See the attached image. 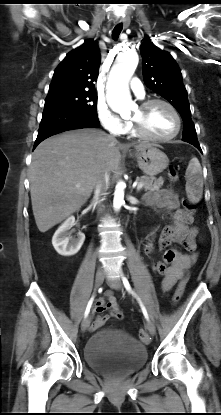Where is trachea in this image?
I'll return each instance as SVG.
<instances>
[{
	"label": "trachea",
	"instance_id": "trachea-1",
	"mask_svg": "<svg viewBox=\"0 0 221 415\" xmlns=\"http://www.w3.org/2000/svg\"><path fill=\"white\" fill-rule=\"evenodd\" d=\"M122 29H123L122 23H119L118 25L115 26V28L112 31V37H113V39L116 40L118 38V36L120 35Z\"/></svg>",
	"mask_w": 221,
	"mask_h": 415
}]
</instances>
